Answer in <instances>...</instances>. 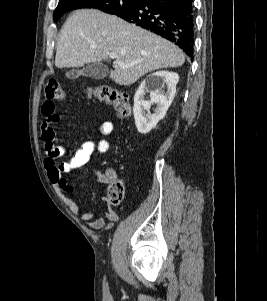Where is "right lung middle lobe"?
Returning a JSON list of instances; mask_svg holds the SVG:
<instances>
[{
	"instance_id": "obj_1",
	"label": "right lung middle lobe",
	"mask_w": 267,
	"mask_h": 301,
	"mask_svg": "<svg viewBox=\"0 0 267 301\" xmlns=\"http://www.w3.org/2000/svg\"><path fill=\"white\" fill-rule=\"evenodd\" d=\"M139 0H60L54 11L53 18L57 21L66 11L79 8L99 9L109 14L127 12Z\"/></svg>"
}]
</instances>
